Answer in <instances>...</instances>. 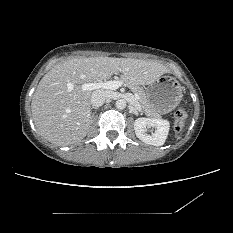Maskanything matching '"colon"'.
Listing matches in <instances>:
<instances>
[{"mask_svg": "<svg viewBox=\"0 0 233 233\" xmlns=\"http://www.w3.org/2000/svg\"><path fill=\"white\" fill-rule=\"evenodd\" d=\"M186 118V112L183 108H178L174 115V127L177 131L181 130Z\"/></svg>", "mask_w": 233, "mask_h": 233, "instance_id": "colon-1", "label": "colon"}]
</instances>
